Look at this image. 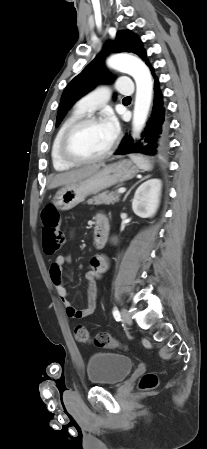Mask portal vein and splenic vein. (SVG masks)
<instances>
[{
    "label": "portal vein and splenic vein",
    "instance_id": "portal-vein-and-splenic-vein-1",
    "mask_svg": "<svg viewBox=\"0 0 207 449\" xmlns=\"http://www.w3.org/2000/svg\"><path fill=\"white\" fill-rule=\"evenodd\" d=\"M125 191H126L125 188H120V189L118 190V193H124Z\"/></svg>",
    "mask_w": 207,
    "mask_h": 449
}]
</instances>
